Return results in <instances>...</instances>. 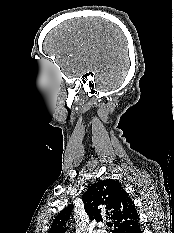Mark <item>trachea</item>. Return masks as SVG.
Here are the masks:
<instances>
[{"label":"trachea","instance_id":"1","mask_svg":"<svg viewBox=\"0 0 174 233\" xmlns=\"http://www.w3.org/2000/svg\"><path fill=\"white\" fill-rule=\"evenodd\" d=\"M107 226H108V227H111V226H112V223L108 222V223H107Z\"/></svg>","mask_w":174,"mask_h":233}]
</instances>
